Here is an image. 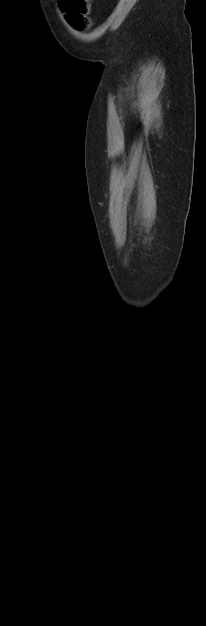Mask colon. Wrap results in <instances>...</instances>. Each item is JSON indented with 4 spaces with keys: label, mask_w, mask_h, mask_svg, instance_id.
<instances>
[{
    "label": "colon",
    "mask_w": 206,
    "mask_h": 626,
    "mask_svg": "<svg viewBox=\"0 0 206 626\" xmlns=\"http://www.w3.org/2000/svg\"><path fill=\"white\" fill-rule=\"evenodd\" d=\"M59 5L72 27L85 30L90 26V0H59Z\"/></svg>",
    "instance_id": "1"
}]
</instances>
